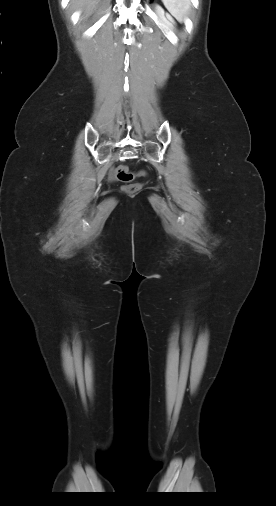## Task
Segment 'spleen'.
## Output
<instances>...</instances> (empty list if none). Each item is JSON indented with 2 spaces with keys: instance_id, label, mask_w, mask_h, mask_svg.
<instances>
[{
  "instance_id": "spleen-1",
  "label": "spleen",
  "mask_w": 276,
  "mask_h": 506,
  "mask_svg": "<svg viewBox=\"0 0 276 506\" xmlns=\"http://www.w3.org/2000/svg\"><path fill=\"white\" fill-rule=\"evenodd\" d=\"M167 10L179 21L183 22L190 10V0H162Z\"/></svg>"
}]
</instances>
